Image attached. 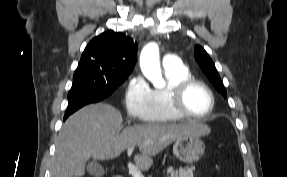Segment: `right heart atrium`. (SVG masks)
<instances>
[{
	"label": "right heart atrium",
	"mask_w": 287,
	"mask_h": 177,
	"mask_svg": "<svg viewBox=\"0 0 287 177\" xmlns=\"http://www.w3.org/2000/svg\"><path fill=\"white\" fill-rule=\"evenodd\" d=\"M151 89L141 76H133L124 91V106L135 121L147 120L149 116Z\"/></svg>",
	"instance_id": "obj_1"
}]
</instances>
